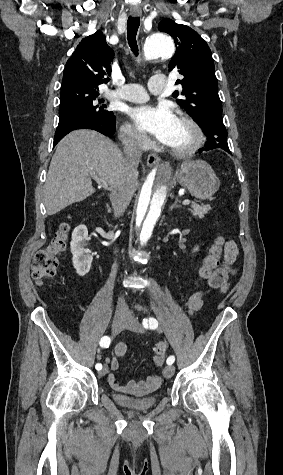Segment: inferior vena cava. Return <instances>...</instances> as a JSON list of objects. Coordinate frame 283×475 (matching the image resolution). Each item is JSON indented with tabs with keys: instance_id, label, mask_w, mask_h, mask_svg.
I'll list each match as a JSON object with an SVG mask.
<instances>
[{
	"instance_id": "obj_1",
	"label": "inferior vena cava",
	"mask_w": 283,
	"mask_h": 475,
	"mask_svg": "<svg viewBox=\"0 0 283 475\" xmlns=\"http://www.w3.org/2000/svg\"><path fill=\"white\" fill-rule=\"evenodd\" d=\"M128 136L129 140L125 142L123 150L125 162L123 176H120L114 186H112L110 194V200L116 218L121 216L122 212H125L134 194V186L133 182H131V178L138 176L137 168L140 158H142L143 142L145 140V134H142V132H129ZM116 309L117 311H127V303L123 297H118Z\"/></svg>"
}]
</instances>
